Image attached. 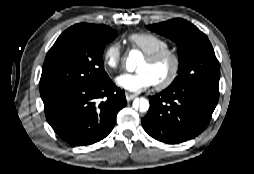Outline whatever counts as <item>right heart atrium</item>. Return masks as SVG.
Here are the masks:
<instances>
[{"mask_svg": "<svg viewBox=\"0 0 254 174\" xmlns=\"http://www.w3.org/2000/svg\"><path fill=\"white\" fill-rule=\"evenodd\" d=\"M103 63L111 70L120 67L123 62V53L119 42H112L106 46L103 52Z\"/></svg>", "mask_w": 254, "mask_h": 174, "instance_id": "1", "label": "right heart atrium"}]
</instances>
